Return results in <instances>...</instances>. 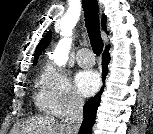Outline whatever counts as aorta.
Returning a JSON list of instances; mask_svg holds the SVG:
<instances>
[{
  "label": "aorta",
  "mask_w": 153,
  "mask_h": 134,
  "mask_svg": "<svg viewBox=\"0 0 153 134\" xmlns=\"http://www.w3.org/2000/svg\"><path fill=\"white\" fill-rule=\"evenodd\" d=\"M71 44L70 34H67L60 40L54 53V61L57 65L62 66L67 62Z\"/></svg>",
  "instance_id": "obj_1"
}]
</instances>
